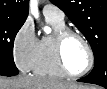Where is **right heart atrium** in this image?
I'll return each instance as SVG.
<instances>
[{
  "mask_svg": "<svg viewBox=\"0 0 107 89\" xmlns=\"http://www.w3.org/2000/svg\"><path fill=\"white\" fill-rule=\"evenodd\" d=\"M39 39L35 33L33 24L25 21L14 36L12 43L13 58L17 67L28 72L32 70Z\"/></svg>",
  "mask_w": 107,
  "mask_h": 89,
  "instance_id": "right-heart-atrium-1",
  "label": "right heart atrium"
}]
</instances>
